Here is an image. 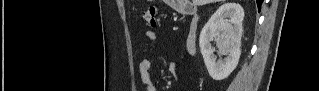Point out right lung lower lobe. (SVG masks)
Segmentation results:
<instances>
[{"label":"right lung lower lobe","mask_w":319,"mask_h":91,"mask_svg":"<svg viewBox=\"0 0 319 91\" xmlns=\"http://www.w3.org/2000/svg\"><path fill=\"white\" fill-rule=\"evenodd\" d=\"M258 9L260 10L263 0H256Z\"/></svg>","instance_id":"obj_1"}]
</instances>
